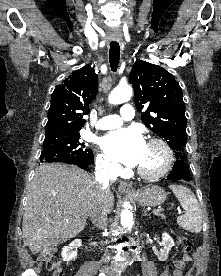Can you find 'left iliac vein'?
<instances>
[{
	"mask_svg": "<svg viewBox=\"0 0 221 276\" xmlns=\"http://www.w3.org/2000/svg\"><path fill=\"white\" fill-rule=\"evenodd\" d=\"M109 276H118V275L114 273H109Z\"/></svg>",
	"mask_w": 221,
	"mask_h": 276,
	"instance_id": "obj_1",
	"label": "left iliac vein"
}]
</instances>
